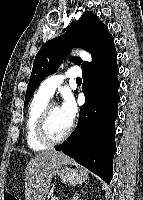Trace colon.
<instances>
[{
	"instance_id": "1",
	"label": "colon",
	"mask_w": 143,
	"mask_h": 200,
	"mask_svg": "<svg viewBox=\"0 0 143 200\" xmlns=\"http://www.w3.org/2000/svg\"><path fill=\"white\" fill-rule=\"evenodd\" d=\"M4 200H18L17 197L11 193H6L4 195Z\"/></svg>"
}]
</instances>
